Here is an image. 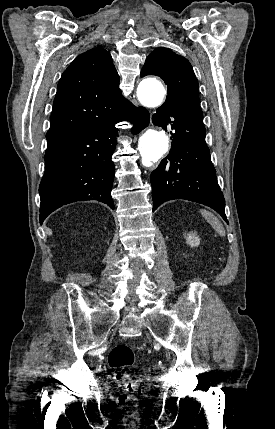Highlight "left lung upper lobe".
Masks as SVG:
<instances>
[{"label":"left lung upper lobe","mask_w":275,"mask_h":429,"mask_svg":"<svg viewBox=\"0 0 275 429\" xmlns=\"http://www.w3.org/2000/svg\"><path fill=\"white\" fill-rule=\"evenodd\" d=\"M156 75L164 80L168 95L164 104L189 111L202 118L198 80L191 64L183 56L159 47L151 52L141 70V77Z\"/></svg>","instance_id":"5c2ea615"}]
</instances>
